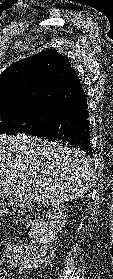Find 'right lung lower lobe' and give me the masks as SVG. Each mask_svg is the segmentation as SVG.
<instances>
[{
	"mask_svg": "<svg viewBox=\"0 0 113 279\" xmlns=\"http://www.w3.org/2000/svg\"><path fill=\"white\" fill-rule=\"evenodd\" d=\"M86 96L83 92L78 102L64 110L63 116L54 123L28 133L35 137L59 141L77 146L92 155L90 127Z\"/></svg>",
	"mask_w": 113,
	"mask_h": 279,
	"instance_id": "right-lung-lower-lobe-1",
	"label": "right lung lower lobe"
}]
</instances>
